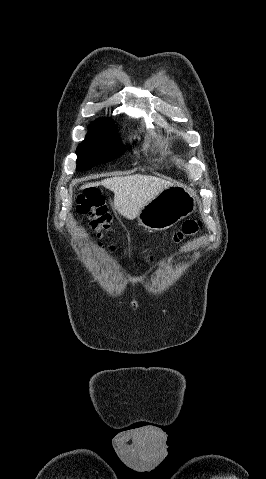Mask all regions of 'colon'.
Wrapping results in <instances>:
<instances>
[{
	"label": "colon",
	"instance_id": "1",
	"mask_svg": "<svg viewBox=\"0 0 266 479\" xmlns=\"http://www.w3.org/2000/svg\"><path fill=\"white\" fill-rule=\"evenodd\" d=\"M77 212L91 219L90 225L99 235L111 232L112 218L105 205L104 197L97 189L91 188L80 193L76 200ZM202 226L199 220H187L172 236V243L179 245L198 233Z\"/></svg>",
	"mask_w": 266,
	"mask_h": 479
}]
</instances>
